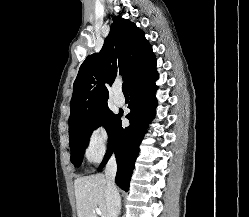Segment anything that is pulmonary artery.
Returning a JSON list of instances; mask_svg holds the SVG:
<instances>
[{"label": "pulmonary artery", "instance_id": "obj_1", "mask_svg": "<svg viewBox=\"0 0 249 217\" xmlns=\"http://www.w3.org/2000/svg\"><path fill=\"white\" fill-rule=\"evenodd\" d=\"M113 100L117 106H122L125 103L124 97L122 95H118V94L115 95Z\"/></svg>", "mask_w": 249, "mask_h": 217}]
</instances>
